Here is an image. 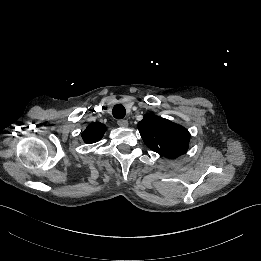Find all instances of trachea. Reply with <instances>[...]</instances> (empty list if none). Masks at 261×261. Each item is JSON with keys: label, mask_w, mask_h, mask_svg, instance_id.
<instances>
[{"label": "trachea", "mask_w": 261, "mask_h": 261, "mask_svg": "<svg viewBox=\"0 0 261 261\" xmlns=\"http://www.w3.org/2000/svg\"><path fill=\"white\" fill-rule=\"evenodd\" d=\"M112 113L116 119H123L126 115V110L123 105L117 104L113 107Z\"/></svg>", "instance_id": "trachea-1"}]
</instances>
